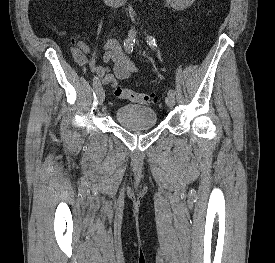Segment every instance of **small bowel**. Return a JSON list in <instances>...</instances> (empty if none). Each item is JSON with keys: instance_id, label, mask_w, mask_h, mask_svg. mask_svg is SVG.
Instances as JSON below:
<instances>
[{"instance_id": "small-bowel-1", "label": "small bowel", "mask_w": 275, "mask_h": 263, "mask_svg": "<svg viewBox=\"0 0 275 263\" xmlns=\"http://www.w3.org/2000/svg\"><path fill=\"white\" fill-rule=\"evenodd\" d=\"M104 49V64L89 67L90 72L100 78L102 84L115 86L119 80H126L138 72V66L124 54L120 44L112 38L111 31L107 32ZM71 53L80 67L87 66L89 48L84 42L73 41ZM110 64H113L112 70Z\"/></svg>"}]
</instances>
